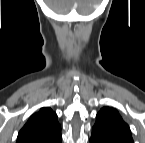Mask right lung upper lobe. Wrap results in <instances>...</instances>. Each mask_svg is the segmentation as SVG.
<instances>
[{"label": "right lung upper lobe", "instance_id": "cb5924a9", "mask_svg": "<svg viewBox=\"0 0 145 143\" xmlns=\"http://www.w3.org/2000/svg\"><path fill=\"white\" fill-rule=\"evenodd\" d=\"M17 143H61V126L51 108L33 114L20 130Z\"/></svg>", "mask_w": 145, "mask_h": 143}]
</instances>
